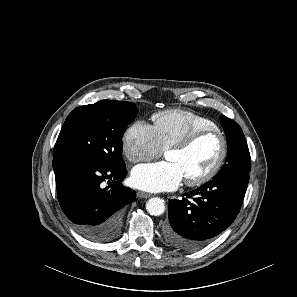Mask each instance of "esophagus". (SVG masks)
Returning a JSON list of instances; mask_svg holds the SVG:
<instances>
[{"label": "esophagus", "instance_id": "esophagus-1", "mask_svg": "<svg viewBox=\"0 0 297 297\" xmlns=\"http://www.w3.org/2000/svg\"><path fill=\"white\" fill-rule=\"evenodd\" d=\"M151 196L152 195L150 193H146V192H143V191H138L137 192V197L138 198H149Z\"/></svg>", "mask_w": 297, "mask_h": 297}]
</instances>
